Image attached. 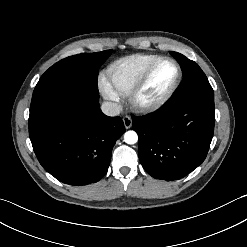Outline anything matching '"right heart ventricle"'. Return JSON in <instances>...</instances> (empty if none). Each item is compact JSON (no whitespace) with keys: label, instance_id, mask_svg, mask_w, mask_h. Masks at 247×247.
I'll use <instances>...</instances> for the list:
<instances>
[{"label":"right heart ventricle","instance_id":"obj_1","mask_svg":"<svg viewBox=\"0 0 247 247\" xmlns=\"http://www.w3.org/2000/svg\"><path fill=\"white\" fill-rule=\"evenodd\" d=\"M161 56L156 54H132L113 62L106 76L118 95H127L147 67Z\"/></svg>","mask_w":247,"mask_h":247}]
</instances>
